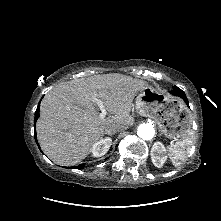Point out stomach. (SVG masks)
Listing matches in <instances>:
<instances>
[{"instance_id": "stomach-1", "label": "stomach", "mask_w": 221, "mask_h": 221, "mask_svg": "<svg viewBox=\"0 0 221 221\" xmlns=\"http://www.w3.org/2000/svg\"><path fill=\"white\" fill-rule=\"evenodd\" d=\"M136 110L156 121L160 131L170 139H184L191 129L192 118L187 107L151 86L136 95Z\"/></svg>"}]
</instances>
